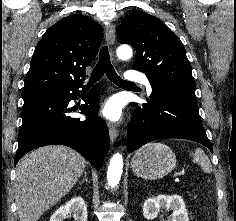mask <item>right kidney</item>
<instances>
[{"instance_id": "1", "label": "right kidney", "mask_w": 236, "mask_h": 221, "mask_svg": "<svg viewBox=\"0 0 236 221\" xmlns=\"http://www.w3.org/2000/svg\"><path fill=\"white\" fill-rule=\"evenodd\" d=\"M73 214L75 221H87V206L82 197H74L58 208L49 221H63L67 215Z\"/></svg>"}]
</instances>
